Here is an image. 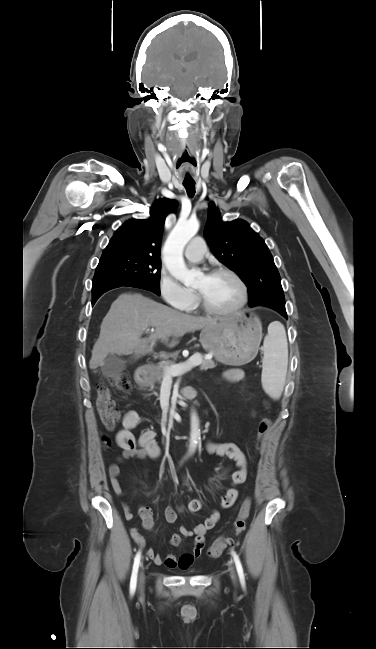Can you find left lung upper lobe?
<instances>
[{
    "mask_svg": "<svg viewBox=\"0 0 376 649\" xmlns=\"http://www.w3.org/2000/svg\"><path fill=\"white\" fill-rule=\"evenodd\" d=\"M204 235L215 257L241 276L249 288V306L263 305L285 310L279 272L265 242L241 219L223 222L214 203Z\"/></svg>",
    "mask_w": 376,
    "mask_h": 649,
    "instance_id": "1",
    "label": "left lung upper lobe"
}]
</instances>
